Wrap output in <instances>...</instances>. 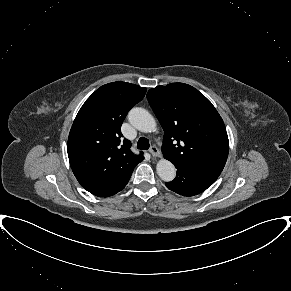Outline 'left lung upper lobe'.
Returning a JSON list of instances; mask_svg holds the SVG:
<instances>
[{"label": "left lung upper lobe", "instance_id": "1", "mask_svg": "<svg viewBox=\"0 0 291 291\" xmlns=\"http://www.w3.org/2000/svg\"><path fill=\"white\" fill-rule=\"evenodd\" d=\"M147 99L163 130L164 157L173 164L222 171L229 151L226 128L212 103L184 83L157 86Z\"/></svg>", "mask_w": 291, "mask_h": 291}]
</instances>
